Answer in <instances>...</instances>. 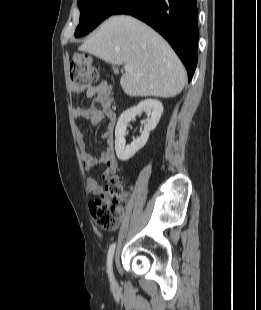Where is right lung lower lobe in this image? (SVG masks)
<instances>
[{"mask_svg":"<svg viewBox=\"0 0 261 310\" xmlns=\"http://www.w3.org/2000/svg\"><path fill=\"white\" fill-rule=\"evenodd\" d=\"M114 14L132 15L158 31L182 60L190 82L197 65L196 0H127Z\"/></svg>","mask_w":261,"mask_h":310,"instance_id":"obj_1","label":"right lung lower lobe"}]
</instances>
